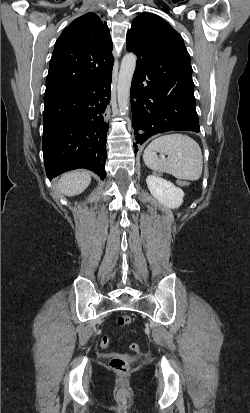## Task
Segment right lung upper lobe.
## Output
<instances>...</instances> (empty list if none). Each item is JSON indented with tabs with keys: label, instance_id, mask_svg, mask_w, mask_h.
I'll list each match as a JSON object with an SVG mask.
<instances>
[{
	"label": "right lung upper lobe",
	"instance_id": "obj_1",
	"mask_svg": "<svg viewBox=\"0 0 250 413\" xmlns=\"http://www.w3.org/2000/svg\"><path fill=\"white\" fill-rule=\"evenodd\" d=\"M112 41L106 22L94 13L75 19L55 43L45 94L98 80L112 70Z\"/></svg>",
	"mask_w": 250,
	"mask_h": 413
}]
</instances>
